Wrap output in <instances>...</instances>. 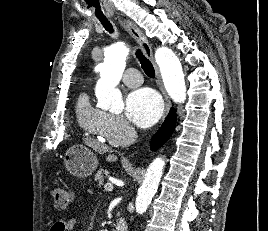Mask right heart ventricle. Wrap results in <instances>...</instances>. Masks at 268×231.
Masks as SVG:
<instances>
[{
  "label": "right heart ventricle",
  "instance_id": "right-heart-ventricle-1",
  "mask_svg": "<svg viewBox=\"0 0 268 231\" xmlns=\"http://www.w3.org/2000/svg\"><path fill=\"white\" fill-rule=\"evenodd\" d=\"M76 118L79 126L87 135L103 139V125L107 118V113L92 104L87 92L80 94L76 103Z\"/></svg>",
  "mask_w": 268,
  "mask_h": 231
}]
</instances>
